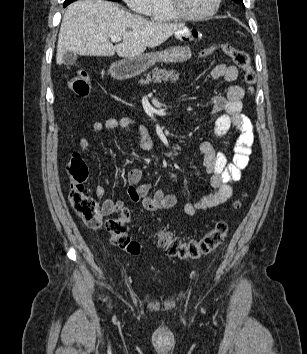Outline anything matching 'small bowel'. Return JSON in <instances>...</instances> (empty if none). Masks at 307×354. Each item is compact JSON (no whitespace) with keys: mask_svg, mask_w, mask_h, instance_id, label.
Returning <instances> with one entry per match:
<instances>
[{"mask_svg":"<svg viewBox=\"0 0 307 354\" xmlns=\"http://www.w3.org/2000/svg\"><path fill=\"white\" fill-rule=\"evenodd\" d=\"M174 38H194V31L189 29H176L173 33ZM211 75L214 79L223 78L226 82H234L238 78V69L235 66L219 64L212 69ZM245 90L241 85H231L225 96H215L212 99L214 112L218 114L214 132L218 138L225 137L231 129L239 132L234 146L232 162L228 163L226 155L218 152L208 141L200 144V150L204 155V166L210 175L212 191L196 202L187 203L183 207V212L192 216L199 211H204L226 202L232 195V183L238 181L242 176V171L248 166L254 141L253 125L248 117L242 114V99ZM137 126L139 144L143 149H152L154 144L149 130L143 124L131 117L109 118L105 121H96L91 125L93 133H100L103 130H114L117 128L128 129ZM90 147L87 137L79 140V148L86 152ZM142 170L132 168L127 173V194L134 203H141L147 211L154 212L161 209H172L178 205L174 194L163 190L156 191L149 195L150 185L140 184ZM168 181L174 183L175 175L167 173ZM95 195L98 199L103 198L105 189L98 185L95 188ZM107 213H115L124 207L122 201L107 199L103 202Z\"/></svg>","mask_w":307,"mask_h":354,"instance_id":"c3829d8e","label":"small bowel"}]
</instances>
